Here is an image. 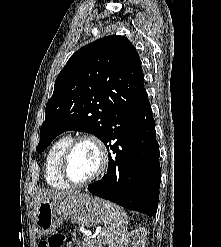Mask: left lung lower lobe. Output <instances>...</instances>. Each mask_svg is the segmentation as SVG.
<instances>
[{
	"label": "left lung lower lobe",
	"mask_w": 221,
	"mask_h": 247,
	"mask_svg": "<svg viewBox=\"0 0 221 247\" xmlns=\"http://www.w3.org/2000/svg\"><path fill=\"white\" fill-rule=\"evenodd\" d=\"M149 100L119 112L109 123L104 144L113 154L103 178L88 186L101 198L150 217L157 212L159 146ZM116 142L111 145V141Z\"/></svg>",
	"instance_id": "1"
}]
</instances>
